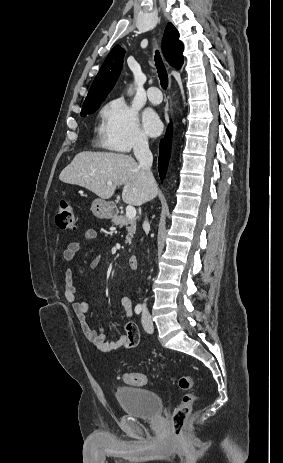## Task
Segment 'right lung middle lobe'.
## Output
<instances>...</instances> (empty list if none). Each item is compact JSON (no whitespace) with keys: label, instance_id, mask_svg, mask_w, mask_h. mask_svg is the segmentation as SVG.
<instances>
[{"label":"right lung middle lobe","instance_id":"right-lung-middle-lobe-1","mask_svg":"<svg viewBox=\"0 0 283 463\" xmlns=\"http://www.w3.org/2000/svg\"><path fill=\"white\" fill-rule=\"evenodd\" d=\"M100 104H101V102L97 103V104L90 105V106L82 107L81 115L86 116V114L94 113L98 109Z\"/></svg>","mask_w":283,"mask_h":463}]
</instances>
